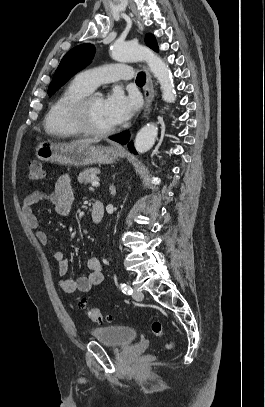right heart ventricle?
<instances>
[{"label": "right heart ventricle", "instance_id": "1", "mask_svg": "<svg viewBox=\"0 0 265 407\" xmlns=\"http://www.w3.org/2000/svg\"><path fill=\"white\" fill-rule=\"evenodd\" d=\"M91 90L78 80H72L55 98L44 119V129L47 134L56 138H75L81 136L70 123L68 110L78 98L89 94Z\"/></svg>", "mask_w": 265, "mask_h": 407}]
</instances>
